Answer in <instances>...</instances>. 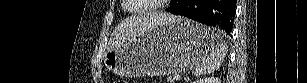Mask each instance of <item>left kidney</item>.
Here are the masks:
<instances>
[{
	"instance_id": "1",
	"label": "left kidney",
	"mask_w": 307,
	"mask_h": 83,
	"mask_svg": "<svg viewBox=\"0 0 307 83\" xmlns=\"http://www.w3.org/2000/svg\"><path fill=\"white\" fill-rule=\"evenodd\" d=\"M193 83H221V81L219 78L210 77V78L199 79L197 81H194Z\"/></svg>"
}]
</instances>
